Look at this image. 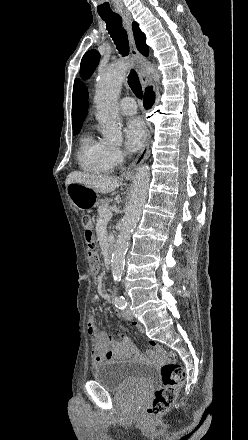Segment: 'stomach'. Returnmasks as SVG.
<instances>
[{
    "mask_svg": "<svg viewBox=\"0 0 248 440\" xmlns=\"http://www.w3.org/2000/svg\"><path fill=\"white\" fill-rule=\"evenodd\" d=\"M67 195L72 204L80 210L95 207L99 203L97 192L79 183L69 184Z\"/></svg>",
    "mask_w": 248,
    "mask_h": 440,
    "instance_id": "obj_1",
    "label": "stomach"
}]
</instances>
